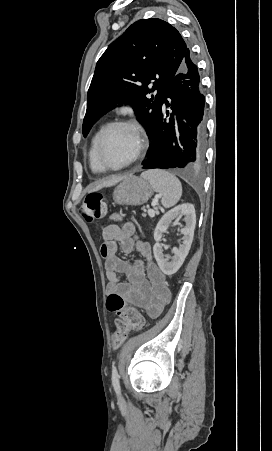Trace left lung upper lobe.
Segmentation results:
<instances>
[{
  "instance_id": "5c2ea615",
  "label": "left lung upper lobe",
  "mask_w": 272,
  "mask_h": 451,
  "mask_svg": "<svg viewBox=\"0 0 272 451\" xmlns=\"http://www.w3.org/2000/svg\"><path fill=\"white\" fill-rule=\"evenodd\" d=\"M186 51L180 33L169 23L161 19L133 23L109 45L96 64L87 94L83 135L116 103H128L138 121L148 126L152 139L162 100ZM150 83L152 88H148Z\"/></svg>"
}]
</instances>
